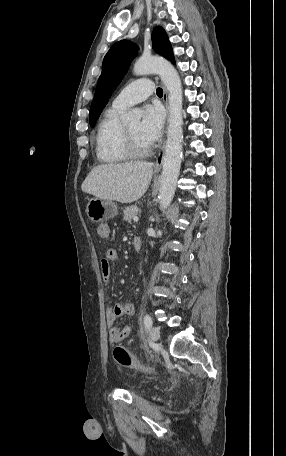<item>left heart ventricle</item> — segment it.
<instances>
[{
    "label": "left heart ventricle",
    "mask_w": 286,
    "mask_h": 456,
    "mask_svg": "<svg viewBox=\"0 0 286 456\" xmlns=\"http://www.w3.org/2000/svg\"><path fill=\"white\" fill-rule=\"evenodd\" d=\"M128 131L130 132L136 146L139 148V149H144V148H147L149 147L151 144L146 141L140 134V123L139 122H135V123H132V124H129L126 126Z\"/></svg>",
    "instance_id": "b2bd125f"
}]
</instances>
